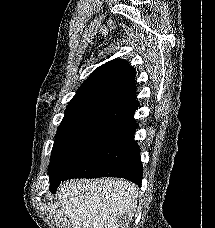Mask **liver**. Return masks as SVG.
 Wrapping results in <instances>:
<instances>
[{
    "label": "liver",
    "instance_id": "6515ba94",
    "mask_svg": "<svg viewBox=\"0 0 215 228\" xmlns=\"http://www.w3.org/2000/svg\"><path fill=\"white\" fill-rule=\"evenodd\" d=\"M56 196L72 228H130L139 188L120 178L68 180Z\"/></svg>",
    "mask_w": 215,
    "mask_h": 228
}]
</instances>
